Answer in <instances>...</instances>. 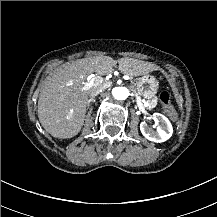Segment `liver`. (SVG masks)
<instances>
[{"label":"liver","instance_id":"liver-1","mask_svg":"<svg viewBox=\"0 0 217 217\" xmlns=\"http://www.w3.org/2000/svg\"><path fill=\"white\" fill-rule=\"evenodd\" d=\"M129 76H142L160 70L159 66L133 58L114 60L94 56L68 63L47 77L38 101V118L43 128L56 138H72L84 124L87 98L91 84L88 77L96 72L106 75L113 67Z\"/></svg>","mask_w":217,"mask_h":217}]
</instances>
